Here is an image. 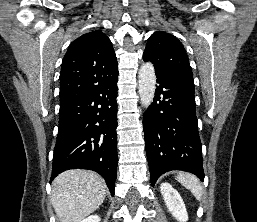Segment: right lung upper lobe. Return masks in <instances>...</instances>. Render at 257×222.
I'll return each mask as SVG.
<instances>
[{
    "mask_svg": "<svg viewBox=\"0 0 257 222\" xmlns=\"http://www.w3.org/2000/svg\"><path fill=\"white\" fill-rule=\"evenodd\" d=\"M118 71L110 39L100 30L74 40L64 56L60 73V106L91 92Z\"/></svg>",
    "mask_w": 257,
    "mask_h": 222,
    "instance_id": "1",
    "label": "right lung upper lobe"
}]
</instances>
